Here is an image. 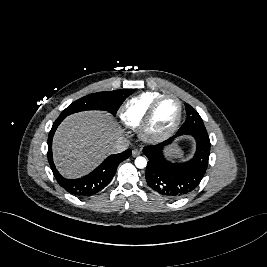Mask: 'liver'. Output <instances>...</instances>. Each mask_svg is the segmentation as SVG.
Returning <instances> with one entry per match:
<instances>
[{
    "label": "liver",
    "mask_w": 267,
    "mask_h": 267,
    "mask_svg": "<svg viewBox=\"0 0 267 267\" xmlns=\"http://www.w3.org/2000/svg\"><path fill=\"white\" fill-rule=\"evenodd\" d=\"M120 139H123L121 131L107 112L86 111L70 115L54 135V162L65 177H80L113 153V144Z\"/></svg>",
    "instance_id": "1"
}]
</instances>
